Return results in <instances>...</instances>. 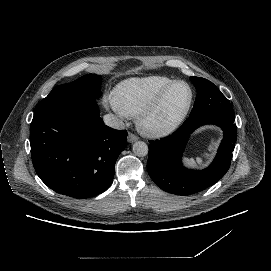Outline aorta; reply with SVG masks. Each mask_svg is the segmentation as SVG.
<instances>
[{"label":"aorta","mask_w":271,"mask_h":271,"mask_svg":"<svg viewBox=\"0 0 271 271\" xmlns=\"http://www.w3.org/2000/svg\"><path fill=\"white\" fill-rule=\"evenodd\" d=\"M133 153L139 157L146 156L148 154L147 144L143 141H136L133 144Z\"/></svg>","instance_id":"762f6f07"}]
</instances>
